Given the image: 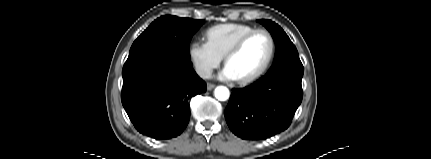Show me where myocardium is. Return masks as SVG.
<instances>
[{
    "instance_id": "myocardium-1",
    "label": "myocardium",
    "mask_w": 431,
    "mask_h": 159,
    "mask_svg": "<svg viewBox=\"0 0 431 159\" xmlns=\"http://www.w3.org/2000/svg\"><path fill=\"white\" fill-rule=\"evenodd\" d=\"M258 33H263L265 35H267V37L269 38L270 41V52L269 55L265 61V63L261 66L260 69H258L256 72H254L253 74L244 77V78H240L237 79V81L240 84H249L252 83L254 81H256L257 79H259L260 77H262L270 68L274 57H275V53H276V42L275 39L273 37V35L271 34L270 31L266 30V29H262V28H258V29H254L248 33H246L245 35H243L229 50L228 52L225 54L224 56V62L227 65L228 61L233 58L235 55H237L244 47V45L246 44V42L255 34Z\"/></svg>"
}]
</instances>
